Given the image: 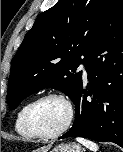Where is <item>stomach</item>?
<instances>
[{
  "mask_svg": "<svg viewBox=\"0 0 123 152\" xmlns=\"http://www.w3.org/2000/svg\"><path fill=\"white\" fill-rule=\"evenodd\" d=\"M50 152H84V149L77 143L60 144Z\"/></svg>",
  "mask_w": 123,
  "mask_h": 152,
  "instance_id": "obj_1",
  "label": "stomach"
}]
</instances>
